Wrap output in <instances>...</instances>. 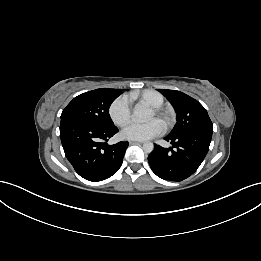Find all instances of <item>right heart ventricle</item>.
I'll use <instances>...</instances> for the list:
<instances>
[{
    "label": "right heart ventricle",
    "mask_w": 261,
    "mask_h": 261,
    "mask_svg": "<svg viewBox=\"0 0 261 261\" xmlns=\"http://www.w3.org/2000/svg\"><path fill=\"white\" fill-rule=\"evenodd\" d=\"M131 98L143 101L151 107H161L164 103L163 95L154 90H145L138 94H132Z\"/></svg>",
    "instance_id": "obj_1"
}]
</instances>
